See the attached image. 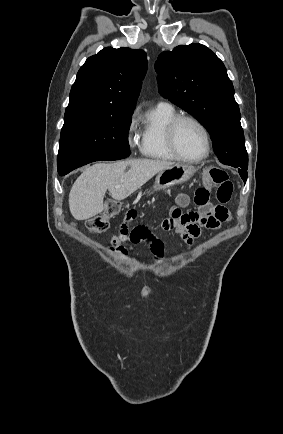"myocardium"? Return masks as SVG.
<instances>
[{
  "instance_id": "f54148a6",
  "label": "myocardium",
  "mask_w": 283,
  "mask_h": 434,
  "mask_svg": "<svg viewBox=\"0 0 283 434\" xmlns=\"http://www.w3.org/2000/svg\"><path fill=\"white\" fill-rule=\"evenodd\" d=\"M183 121H190L194 123L202 132L204 141H205V150L202 155L196 158H189L181 154L177 147L176 143V131L179 126V124ZM166 141L167 145L169 147V150L171 153L178 159L183 162L188 163H198L206 159L211 151V139L210 134L206 126L196 117L192 115H185V114H179L176 117H174L168 124L166 128Z\"/></svg>"
}]
</instances>
